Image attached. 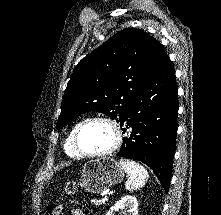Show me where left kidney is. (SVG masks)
<instances>
[{
    "mask_svg": "<svg viewBox=\"0 0 221 215\" xmlns=\"http://www.w3.org/2000/svg\"><path fill=\"white\" fill-rule=\"evenodd\" d=\"M127 209L128 215H138V201L134 196L126 195L116 202L114 206L106 213V215H115V212Z\"/></svg>",
    "mask_w": 221,
    "mask_h": 215,
    "instance_id": "1",
    "label": "left kidney"
}]
</instances>
